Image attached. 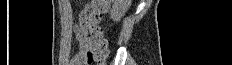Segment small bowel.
Returning <instances> with one entry per match:
<instances>
[{
    "label": "small bowel",
    "instance_id": "c3829d8e",
    "mask_svg": "<svg viewBox=\"0 0 232 65\" xmlns=\"http://www.w3.org/2000/svg\"><path fill=\"white\" fill-rule=\"evenodd\" d=\"M75 38L79 43V51L74 55V57L71 59V65H84L88 63V57H87V41L84 29L79 23L75 27Z\"/></svg>",
    "mask_w": 232,
    "mask_h": 65
}]
</instances>
